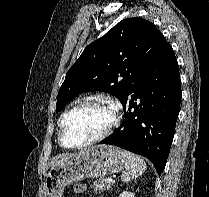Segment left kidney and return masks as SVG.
<instances>
[{
	"mask_svg": "<svg viewBox=\"0 0 209 197\" xmlns=\"http://www.w3.org/2000/svg\"><path fill=\"white\" fill-rule=\"evenodd\" d=\"M118 197H135L133 193L124 191Z\"/></svg>",
	"mask_w": 209,
	"mask_h": 197,
	"instance_id": "obj_1",
	"label": "left kidney"
}]
</instances>
